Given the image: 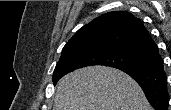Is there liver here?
Instances as JSON below:
<instances>
[{"instance_id": "6515ba94", "label": "liver", "mask_w": 171, "mask_h": 110, "mask_svg": "<svg viewBox=\"0 0 171 110\" xmlns=\"http://www.w3.org/2000/svg\"><path fill=\"white\" fill-rule=\"evenodd\" d=\"M53 110H152L137 82L106 66H89L65 75Z\"/></svg>"}]
</instances>
